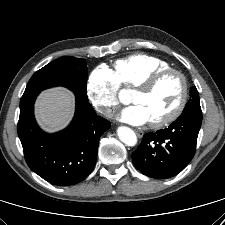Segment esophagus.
Returning <instances> with one entry per match:
<instances>
[{"label":"esophagus","mask_w":225,"mask_h":225,"mask_svg":"<svg viewBox=\"0 0 225 225\" xmlns=\"http://www.w3.org/2000/svg\"><path fill=\"white\" fill-rule=\"evenodd\" d=\"M135 132H136V134H137V136H138L139 138H142L143 135H144V132H143L142 130L135 129Z\"/></svg>","instance_id":"esophagus-1"}]
</instances>
